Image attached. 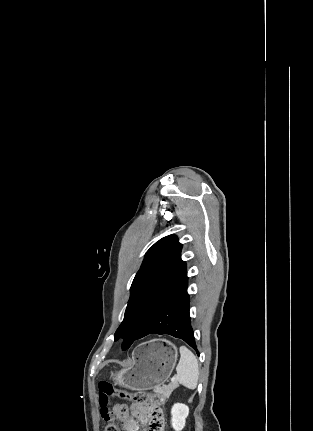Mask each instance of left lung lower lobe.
<instances>
[{"mask_svg":"<svg viewBox=\"0 0 313 431\" xmlns=\"http://www.w3.org/2000/svg\"><path fill=\"white\" fill-rule=\"evenodd\" d=\"M190 322L189 295L186 287L157 312L137 339L149 334H169L184 340L199 356Z\"/></svg>","mask_w":313,"mask_h":431,"instance_id":"left-lung-lower-lobe-1","label":"left lung lower lobe"}]
</instances>
